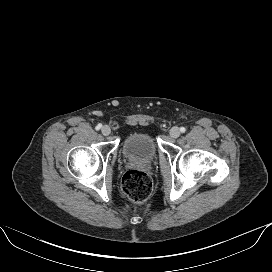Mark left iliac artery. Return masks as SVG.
<instances>
[{
	"label": "left iliac artery",
	"mask_w": 272,
	"mask_h": 272,
	"mask_svg": "<svg viewBox=\"0 0 272 272\" xmlns=\"http://www.w3.org/2000/svg\"><path fill=\"white\" fill-rule=\"evenodd\" d=\"M180 131H181L182 133H184V132L186 131V128H185V127H181V128H180Z\"/></svg>",
	"instance_id": "44dca946"
}]
</instances>
